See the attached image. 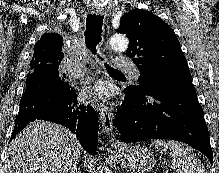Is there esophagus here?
Here are the masks:
<instances>
[{
	"label": "esophagus",
	"mask_w": 219,
	"mask_h": 173,
	"mask_svg": "<svg viewBox=\"0 0 219 173\" xmlns=\"http://www.w3.org/2000/svg\"><path fill=\"white\" fill-rule=\"evenodd\" d=\"M93 12L96 15L106 16V11L103 8H94ZM100 114V128L107 136L110 138L111 143H115V139L113 138V113L110 107L106 104H100L99 108Z\"/></svg>",
	"instance_id": "obj_1"
}]
</instances>
